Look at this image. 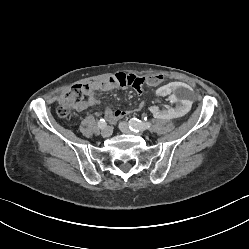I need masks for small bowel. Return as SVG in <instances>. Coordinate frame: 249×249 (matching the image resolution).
<instances>
[{"label": "small bowel", "mask_w": 249, "mask_h": 249, "mask_svg": "<svg viewBox=\"0 0 249 249\" xmlns=\"http://www.w3.org/2000/svg\"><path fill=\"white\" fill-rule=\"evenodd\" d=\"M132 74L126 73H117L110 77L104 78L85 85V94L86 100L81 102L78 106V110H85L88 108H93L100 104V101L95 97L97 91L107 92L112 91L118 88H126L128 86L129 78L133 77ZM164 86V85H163ZM159 89V88H158ZM157 95V91H156ZM105 117L109 122L115 123L119 119L123 118L126 115V112L123 110L113 111L109 106L105 108L104 111Z\"/></svg>", "instance_id": "small-bowel-1"}]
</instances>
